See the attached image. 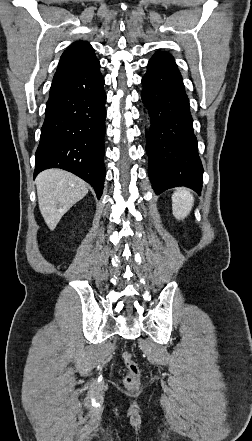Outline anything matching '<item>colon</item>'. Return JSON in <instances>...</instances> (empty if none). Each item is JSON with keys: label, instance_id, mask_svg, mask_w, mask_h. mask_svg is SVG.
<instances>
[{"label": "colon", "instance_id": "1", "mask_svg": "<svg viewBox=\"0 0 252 441\" xmlns=\"http://www.w3.org/2000/svg\"><path fill=\"white\" fill-rule=\"evenodd\" d=\"M123 360L128 370L126 377V384L130 387H135L138 383L140 376V368L138 363L134 360L133 354L129 351L124 352Z\"/></svg>", "mask_w": 252, "mask_h": 441}]
</instances>
